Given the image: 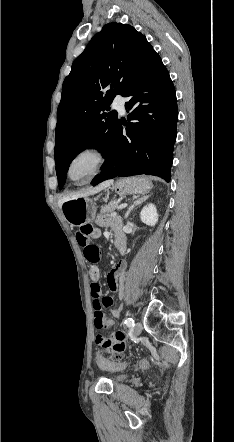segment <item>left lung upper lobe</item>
<instances>
[{
  "label": "left lung upper lobe",
  "instance_id": "5c2ea615",
  "mask_svg": "<svg viewBox=\"0 0 234 442\" xmlns=\"http://www.w3.org/2000/svg\"><path fill=\"white\" fill-rule=\"evenodd\" d=\"M155 51L146 37L128 24H106L72 64L62 86L55 132V164L61 189L74 157L96 147L107 158L119 119L109 110L123 95Z\"/></svg>",
  "mask_w": 234,
  "mask_h": 442
}]
</instances>
